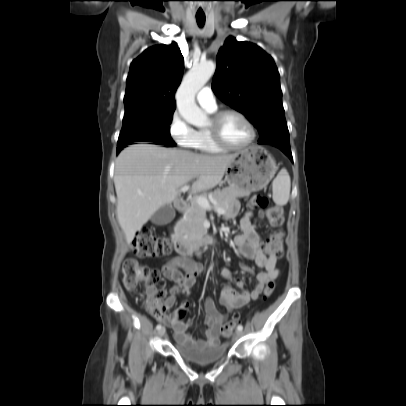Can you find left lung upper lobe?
Returning a JSON list of instances; mask_svg holds the SVG:
<instances>
[{
	"label": "left lung upper lobe",
	"instance_id": "1",
	"mask_svg": "<svg viewBox=\"0 0 406 406\" xmlns=\"http://www.w3.org/2000/svg\"><path fill=\"white\" fill-rule=\"evenodd\" d=\"M212 90L258 129L259 143L290 145L280 75L260 47L227 38L217 54Z\"/></svg>",
	"mask_w": 406,
	"mask_h": 406
}]
</instances>
